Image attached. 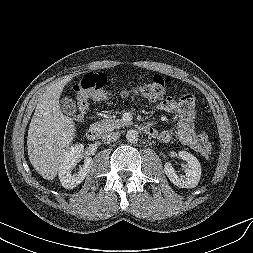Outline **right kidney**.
Instances as JSON below:
<instances>
[{
  "label": "right kidney",
  "instance_id": "obj_1",
  "mask_svg": "<svg viewBox=\"0 0 253 253\" xmlns=\"http://www.w3.org/2000/svg\"><path fill=\"white\" fill-rule=\"evenodd\" d=\"M84 146L75 144L71 146L62 158L59 166L58 176L62 186L66 189H73L78 186L90 172L93 160L89 156L84 157V165L76 174H72L73 168L76 166L80 158L83 157Z\"/></svg>",
  "mask_w": 253,
  "mask_h": 253
}]
</instances>
